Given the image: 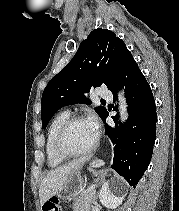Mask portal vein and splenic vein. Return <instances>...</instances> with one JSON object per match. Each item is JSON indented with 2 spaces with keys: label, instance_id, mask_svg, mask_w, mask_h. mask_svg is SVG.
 Returning <instances> with one entry per match:
<instances>
[{
  "label": "portal vein and splenic vein",
  "instance_id": "obj_1",
  "mask_svg": "<svg viewBox=\"0 0 179 211\" xmlns=\"http://www.w3.org/2000/svg\"><path fill=\"white\" fill-rule=\"evenodd\" d=\"M91 188H93V186L89 187L88 190H90Z\"/></svg>",
  "mask_w": 179,
  "mask_h": 211
}]
</instances>
